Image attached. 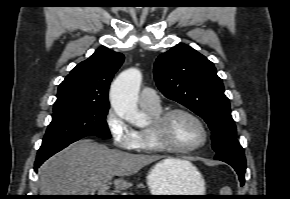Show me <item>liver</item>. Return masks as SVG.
<instances>
[{
	"instance_id": "6515ba94",
	"label": "liver",
	"mask_w": 290,
	"mask_h": 199,
	"mask_svg": "<svg viewBox=\"0 0 290 199\" xmlns=\"http://www.w3.org/2000/svg\"><path fill=\"white\" fill-rule=\"evenodd\" d=\"M161 159L160 156L132 154L110 149L92 139H81L55 156L38 171L41 195H93L114 176L117 190L132 186L124 176L136 174L144 166ZM172 169L190 167L186 160L167 158L162 160Z\"/></svg>"
}]
</instances>
